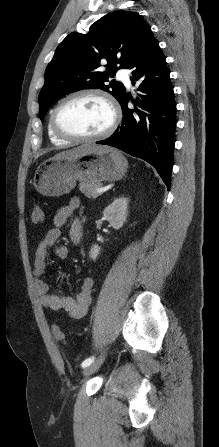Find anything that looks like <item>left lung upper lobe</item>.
Returning <instances> with one entry per match:
<instances>
[{
	"label": "left lung upper lobe",
	"mask_w": 219,
	"mask_h": 447,
	"mask_svg": "<svg viewBox=\"0 0 219 447\" xmlns=\"http://www.w3.org/2000/svg\"><path fill=\"white\" fill-rule=\"evenodd\" d=\"M151 34L150 26L138 13L124 10L103 16L87 34H69L46 68L39 93L40 119L61 97L82 89L105 90L120 102L125 87L121 82L108 84V78L114 75L113 70L127 67ZM103 63L107 71L100 70Z\"/></svg>",
	"instance_id": "obj_1"
}]
</instances>
